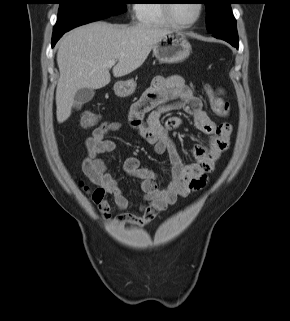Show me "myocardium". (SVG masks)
Wrapping results in <instances>:
<instances>
[{
  "instance_id": "obj_1",
  "label": "myocardium",
  "mask_w": 290,
  "mask_h": 321,
  "mask_svg": "<svg viewBox=\"0 0 290 321\" xmlns=\"http://www.w3.org/2000/svg\"><path fill=\"white\" fill-rule=\"evenodd\" d=\"M196 3H197V9H198L197 15L190 22H180L174 17L172 0H164L163 9H164V13H165L166 17L168 18V20L170 21V23L172 25L179 27V28H189V27L195 25L200 20L202 14H203V9H204L203 3L201 1H196Z\"/></svg>"
}]
</instances>
